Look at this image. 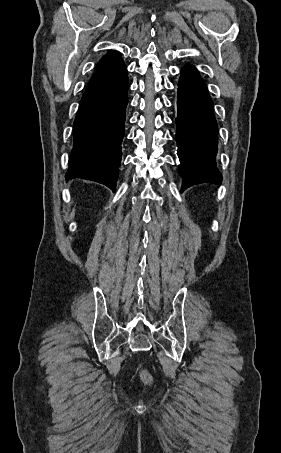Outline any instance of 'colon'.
Masks as SVG:
<instances>
[{
	"label": "colon",
	"mask_w": 281,
	"mask_h": 453,
	"mask_svg": "<svg viewBox=\"0 0 281 453\" xmlns=\"http://www.w3.org/2000/svg\"><path fill=\"white\" fill-rule=\"evenodd\" d=\"M136 373L141 376H145L147 374V371L144 368L137 367L136 368Z\"/></svg>",
	"instance_id": "5ec220e1"
}]
</instances>
